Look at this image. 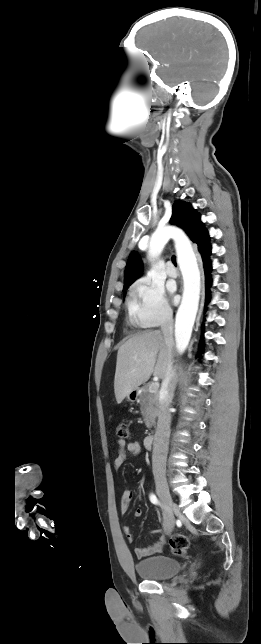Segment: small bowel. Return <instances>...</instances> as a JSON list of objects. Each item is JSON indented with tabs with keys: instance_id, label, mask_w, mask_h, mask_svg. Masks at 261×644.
Wrapping results in <instances>:
<instances>
[{
	"instance_id": "c3829d8e",
	"label": "small bowel",
	"mask_w": 261,
	"mask_h": 644,
	"mask_svg": "<svg viewBox=\"0 0 261 644\" xmlns=\"http://www.w3.org/2000/svg\"><path fill=\"white\" fill-rule=\"evenodd\" d=\"M118 453L113 462V466L116 470L120 469L123 463L126 460L127 454L134 456L140 455L142 448L138 442H126L125 440L119 439L117 442ZM133 498V490L125 489L121 494V503H120V512L122 515H125L128 511L129 503ZM143 515V509L137 508L134 512L135 518H140ZM158 519L162 525V529H155L152 532L158 536L157 540L149 546L146 547H136L134 553L137 558H144L155 553L161 552L165 545V536L164 532H167L169 516L164 514H158ZM123 531L129 541H133L134 535L129 526H123Z\"/></svg>"
}]
</instances>
